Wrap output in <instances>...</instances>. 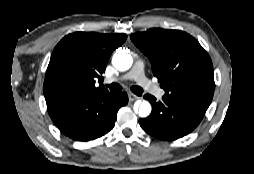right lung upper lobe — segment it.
<instances>
[{"mask_svg": "<svg viewBox=\"0 0 254 174\" xmlns=\"http://www.w3.org/2000/svg\"><path fill=\"white\" fill-rule=\"evenodd\" d=\"M126 34L76 32L65 36L55 47L47 68L43 93L47 105L75 93H109L95 87L115 48Z\"/></svg>", "mask_w": 254, "mask_h": 174, "instance_id": "right-lung-upper-lobe-1", "label": "right lung upper lobe"}]
</instances>
